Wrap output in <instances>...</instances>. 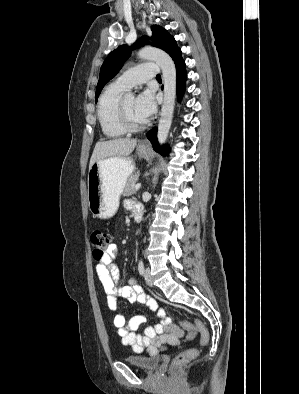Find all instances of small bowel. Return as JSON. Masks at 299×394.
<instances>
[{"label":"small bowel","instance_id":"1","mask_svg":"<svg viewBox=\"0 0 299 394\" xmlns=\"http://www.w3.org/2000/svg\"><path fill=\"white\" fill-rule=\"evenodd\" d=\"M125 206L132 210L137 208L131 201H126ZM116 254L117 246L111 244L106 255L96 265L97 275L108 295L109 309L115 311L118 307L117 299L124 298L130 303L145 305L158 318L157 323L147 326L143 332H138L140 326L146 322L144 315H135L129 321L122 314L115 315L113 324L118 329L122 344L132 347L136 352L147 349L149 354H156L162 347L178 346L184 336V330L166 316L165 310L159 306L155 298L144 291L136 278L130 277L122 283L114 266Z\"/></svg>","mask_w":299,"mask_h":394}]
</instances>
